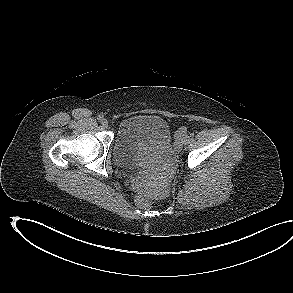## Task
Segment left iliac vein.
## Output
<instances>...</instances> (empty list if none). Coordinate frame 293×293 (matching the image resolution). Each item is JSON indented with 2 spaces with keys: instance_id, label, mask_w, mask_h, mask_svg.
<instances>
[{
  "instance_id": "1",
  "label": "left iliac vein",
  "mask_w": 293,
  "mask_h": 293,
  "mask_svg": "<svg viewBox=\"0 0 293 293\" xmlns=\"http://www.w3.org/2000/svg\"><path fill=\"white\" fill-rule=\"evenodd\" d=\"M188 141H189V137L186 136V137L182 140V143H183L184 145H186V144L188 143Z\"/></svg>"
}]
</instances>
